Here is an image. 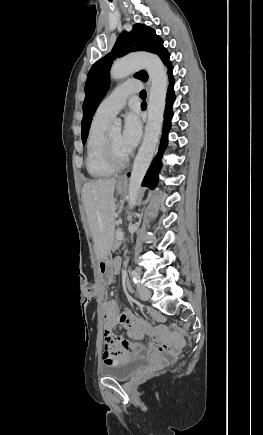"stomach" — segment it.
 I'll return each instance as SVG.
<instances>
[{
    "label": "stomach",
    "mask_w": 263,
    "mask_h": 435,
    "mask_svg": "<svg viewBox=\"0 0 263 435\" xmlns=\"http://www.w3.org/2000/svg\"><path fill=\"white\" fill-rule=\"evenodd\" d=\"M123 189H124V183L119 182L117 184L118 192L121 193ZM110 267H111V260L109 258V254L107 253L105 256L100 258L98 262V269L99 272L101 273L100 275L101 282H116L117 275Z\"/></svg>",
    "instance_id": "0dacf381"
}]
</instances>
